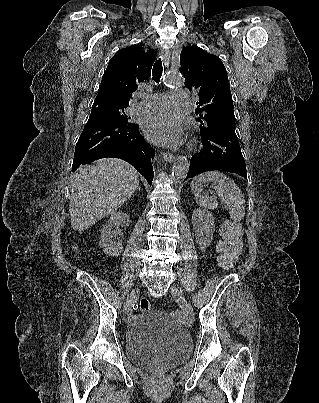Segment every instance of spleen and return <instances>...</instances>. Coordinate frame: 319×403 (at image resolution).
<instances>
[{
  "instance_id": "1",
  "label": "spleen",
  "mask_w": 319,
  "mask_h": 403,
  "mask_svg": "<svg viewBox=\"0 0 319 403\" xmlns=\"http://www.w3.org/2000/svg\"><path fill=\"white\" fill-rule=\"evenodd\" d=\"M212 182L213 189L223 205L228 207L230 218L234 222L245 216V199L238 185L222 172L210 171L196 176L191 182L195 200L203 209H215L218 202L215 198L203 195L201 183Z\"/></svg>"
}]
</instances>
